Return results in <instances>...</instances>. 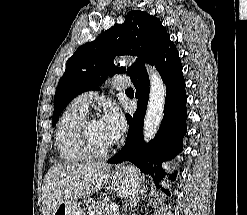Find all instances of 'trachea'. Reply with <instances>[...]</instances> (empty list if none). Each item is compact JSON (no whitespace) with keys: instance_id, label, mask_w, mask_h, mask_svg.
I'll return each mask as SVG.
<instances>
[{"instance_id":"1","label":"trachea","mask_w":247,"mask_h":215,"mask_svg":"<svg viewBox=\"0 0 247 215\" xmlns=\"http://www.w3.org/2000/svg\"><path fill=\"white\" fill-rule=\"evenodd\" d=\"M126 91H133V89L132 88H128Z\"/></svg>"}]
</instances>
